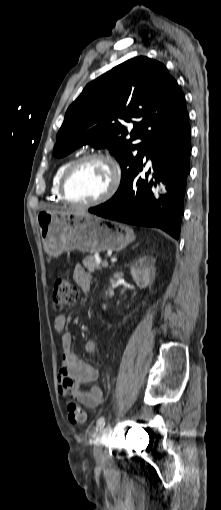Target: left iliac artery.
<instances>
[{"mask_svg":"<svg viewBox=\"0 0 221 510\" xmlns=\"http://www.w3.org/2000/svg\"><path fill=\"white\" fill-rule=\"evenodd\" d=\"M105 425V418L104 417H100L98 420H97V426L98 428H103Z\"/></svg>","mask_w":221,"mask_h":510,"instance_id":"44dca946","label":"left iliac artery"}]
</instances>
